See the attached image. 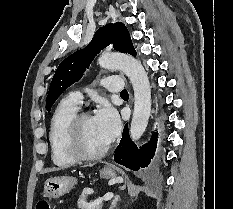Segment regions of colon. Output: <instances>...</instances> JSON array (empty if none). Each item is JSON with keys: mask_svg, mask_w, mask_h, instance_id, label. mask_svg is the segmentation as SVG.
Listing matches in <instances>:
<instances>
[{"mask_svg": "<svg viewBox=\"0 0 233 209\" xmlns=\"http://www.w3.org/2000/svg\"><path fill=\"white\" fill-rule=\"evenodd\" d=\"M36 209H51V206L48 201L41 200L37 203Z\"/></svg>", "mask_w": 233, "mask_h": 209, "instance_id": "5ec220e1", "label": "colon"}]
</instances>
